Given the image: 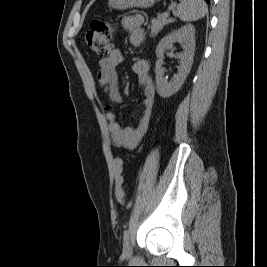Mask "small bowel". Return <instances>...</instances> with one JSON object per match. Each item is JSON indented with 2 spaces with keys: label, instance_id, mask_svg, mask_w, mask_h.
Listing matches in <instances>:
<instances>
[{
  "label": "small bowel",
  "instance_id": "1",
  "mask_svg": "<svg viewBox=\"0 0 267 267\" xmlns=\"http://www.w3.org/2000/svg\"><path fill=\"white\" fill-rule=\"evenodd\" d=\"M144 17L134 14L123 19L122 25L129 32L130 43L140 47L144 41L142 25ZM123 54L119 49L111 51L110 55L99 61L98 82L107 93L111 103L104 105L106 118L109 123L111 143L115 148L134 149L145 135L153 113L155 89L150 75L149 63L145 59H138L132 65L138 85L144 93L143 108L136 127H124L116 121L113 104L121 103L117 66L122 62Z\"/></svg>",
  "mask_w": 267,
  "mask_h": 267
}]
</instances>
